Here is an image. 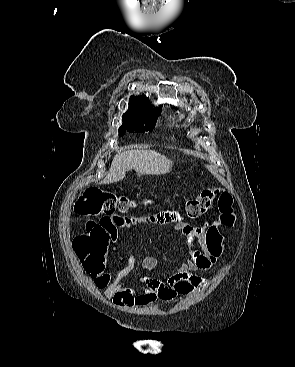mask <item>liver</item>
<instances>
[{"instance_id":"6515ba94","label":"liver","mask_w":295,"mask_h":367,"mask_svg":"<svg viewBox=\"0 0 295 367\" xmlns=\"http://www.w3.org/2000/svg\"><path fill=\"white\" fill-rule=\"evenodd\" d=\"M172 161L153 150H129L118 152L113 158L109 172L102 183L122 180L127 171L134 169L141 175H161L169 171Z\"/></svg>"}]
</instances>
